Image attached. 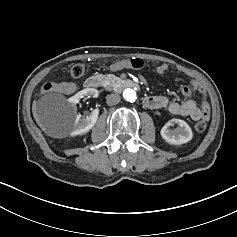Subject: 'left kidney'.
<instances>
[{"instance_id": "1", "label": "left kidney", "mask_w": 237, "mask_h": 237, "mask_svg": "<svg viewBox=\"0 0 237 237\" xmlns=\"http://www.w3.org/2000/svg\"><path fill=\"white\" fill-rule=\"evenodd\" d=\"M178 124L176 129H170L173 124ZM162 138L173 145H181L190 141L193 137L190 126L181 119H172L168 121L161 129Z\"/></svg>"}]
</instances>
